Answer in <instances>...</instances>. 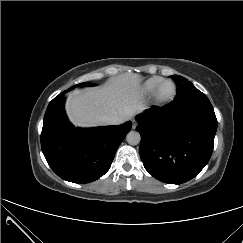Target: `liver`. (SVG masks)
Returning <instances> with one entry per match:
<instances>
[{
  "instance_id": "liver-1",
  "label": "liver",
  "mask_w": 243,
  "mask_h": 243,
  "mask_svg": "<svg viewBox=\"0 0 243 243\" xmlns=\"http://www.w3.org/2000/svg\"><path fill=\"white\" fill-rule=\"evenodd\" d=\"M138 74L125 73L112 78L105 85L71 92L66 111L77 126L106 124L109 116H120L124 121L145 109Z\"/></svg>"
}]
</instances>
